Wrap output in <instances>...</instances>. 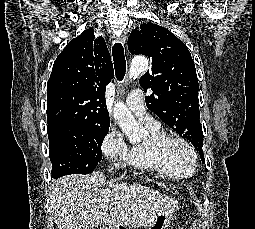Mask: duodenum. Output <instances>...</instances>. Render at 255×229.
Returning a JSON list of instances; mask_svg holds the SVG:
<instances>
[{"instance_id": "obj_1", "label": "duodenum", "mask_w": 255, "mask_h": 229, "mask_svg": "<svg viewBox=\"0 0 255 229\" xmlns=\"http://www.w3.org/2000/svg\"><path fill=\"white\" fill-rule=\"evenodd\" d=\"M109 229H125V227L121 224L114 223L110 225Z\"/></svg>"}]
</instances>
